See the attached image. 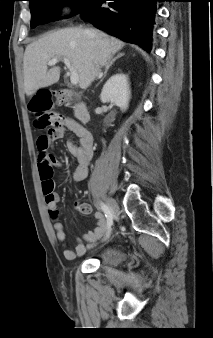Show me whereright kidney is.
I'll return each mask as SVG.
<instances>
[{
	"mask_svg": "<svg viewBox=\"0 0 213 338\" xmlns=\"http://www.w3.org/2000/svg\"><path fill=\"white\" fill-rule=\"evenodd\" d=\"M100 99L103 103L111 102L125 111L130 99L128 77L122 73L111 76L103 86Z\"/></svg>",
	"mask_w": 213,
	"mask_h": 338,
	"instance_id": "ca27d5eb",
	"label": "right kidney"
}]
</instances>
